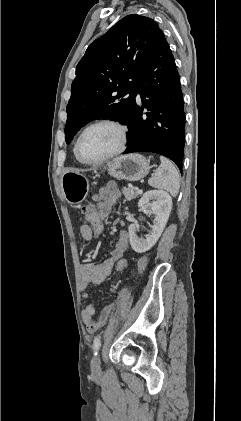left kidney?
<instances>
[{
	"label": "left kidney",
	"mask_w": 241,
	"mask_h": 421,
	"mask_svg": "<svg viewBox=\"0 0 241 421\" xmlns=\"http://www.w3.org/2000/svg\"><path fill=\"white\" fill-rule=\"evenodd\" d=\"M145 204L151 206L154 215L153 225L149 234L146 238H138L136 233L138 230L137 225L133 223L128 227L131 247L137 253H144L150 250L158 241L172 209V198L163 190H150L143 194L138 202V207Z\"/></svg>",
	"instance_id": "left-kidney-1"
}]
</instances>
